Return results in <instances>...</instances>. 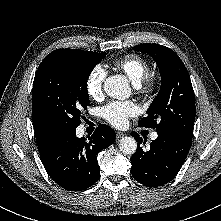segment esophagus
Returning <instances> with one entry per match:
<instances>
[{"instance_id": "34e87169", "label": "esophagus", "mask_w": 221, "mask_h": 221, "mask_svg": "<svg viewBox=\"0 0 221 221\" xmlns=\"http://www.w3.org/2000/svg\"><path fill=\"white\" fill-rule=\"evenodd\" d=\"M125 134L123 132H116V138L119 140L120 138H122Z\"/></svg>"}]
</instances>
